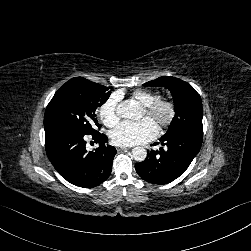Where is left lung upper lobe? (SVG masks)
<instances>
[{
	"instance_id": "5c2ea615",
	"label": "left lung upper lobe",
	"mask_w": 251,
	"mask_h": 251,
	"mask_svg": "<svg viewBox=\"0 0 251 251\" xmlns=\"http://www.w3.org/2000/svg\"><path fill=\"white\" fill-rule=\"evenodd\" d=\"M145 86H163L170 90L175 104V117L163 137L186 132L203 136L202 102L200 95L185 81L164 76L144 84Z\"/></svg>"
}]
</instances>
